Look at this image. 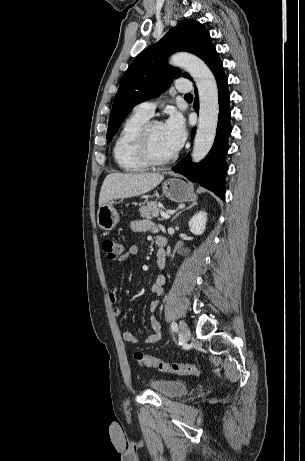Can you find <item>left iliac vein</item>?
Instances as JSON below:
<instances>
[{"instance_id":"1","label":"left iliac vein","mask_w":305,"mask_h":461,"mask_svg":"<svg viewBox=\"0 0 305 461\" xmlns=\"http://www.w3.org/2000/svg\"><path fill=\"white\" fill-rule=\"evenodd\" d=\"M180 336L183 341H188L191 337L190 329L184 321H180Z\"/></svg>"}]
</instances>
